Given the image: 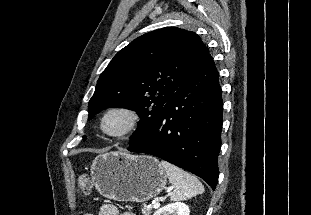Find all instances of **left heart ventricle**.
Returning <instances> with one entry per match:
<instances>
[{"label":"left heart ventricle","mask_w":311,"mask_h":215,"mask_svg":"<svg viewBox=\"0 0 311 215\" xmlns=\"http://www.w3.org/2000/svg\"><path fill=\"white\" fill-rule=\"evenodd\" d=\"M127 118L122 114H112L105 120V128L108 131H117L125 126Z\"/></svg>","instance_id":"1"}]
</instances>
